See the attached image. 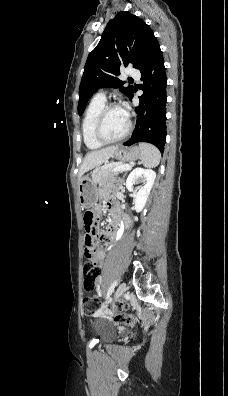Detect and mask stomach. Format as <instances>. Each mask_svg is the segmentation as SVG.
Here are the masks:
<instances>
[{
	"instance_id": "stomach-1",
	"label": "stomach",
	"mask_w": 228,
	"mask_h": 396,
	"mask_svg": "<svg viewBox=\"0 0 228 396\" xmlns=\"http://www.w3.org/2000/svg\"><path fill=\"white\" fill-rule=\"evenodd\" d=\"M112 157L119 161L131 162L141 157V151L137 146L118 148ZM94 172L92 175L82 176L78 183V199L81 206L86 209L94 207L98 200L97 183L93 181Z\"/></svg>"
}]
</instances>
